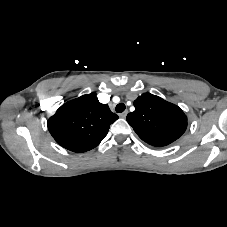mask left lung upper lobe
<instances>
[{"mask_svg": "<svg viewBox=\"0 0 227 227\" xmlns=\"http://www.w3.org/2000/svg\"><path fill=\"white\" fill-rule=\"evenodd\" d=\"M127 122L146 143L162 147L177 140L187 128V117L175 104L144 93L134 101Z\"/></svg>", "mask_w": 227, "mask_h": 227, "instance_id": "5c2ea615", "label": "left lung upper lobe"}]
</instances>
